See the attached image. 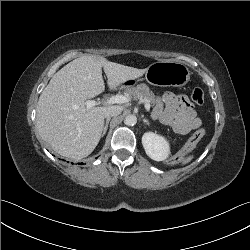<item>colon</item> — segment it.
I'll return each mask as SVG.
<instances>
[{"label": "colon", "mask_w": 250, "mask_h": 250, "mask_svg": "<svg viewBox=\"0 0 250 250\" xmlns=\"http://www.w3.org/2000/svg\"><path fill=\"white\" fill-rule=\"evenodd\" d=\"M191 100L196 104L204 102V92L200 88H195L191 92ZM205 130L198 129L186 142L185 146L178 148L171 157H163L161 164L163 166H178L184 161V158L190 154V150L194 149L199 141L204 137Z\"/></svg>", "instance_id": "obj_1"}]
</instances>
